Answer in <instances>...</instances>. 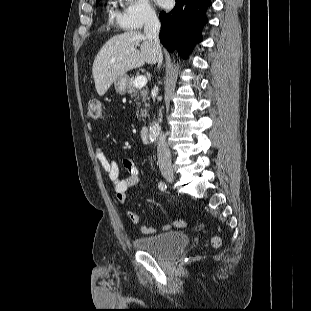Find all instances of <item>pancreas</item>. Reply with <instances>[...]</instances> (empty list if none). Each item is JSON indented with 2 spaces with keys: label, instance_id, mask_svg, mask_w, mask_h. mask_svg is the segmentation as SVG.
<instances>
[{
  "label": "pancreas",
  "instance_id": "cf45deb5",
  "mask_svg": "<svg viewBox=\"0 0 311 311\" xmlns=\"http://www.w3.org/2000/svg\"><path fill=\"white\" fill-rule=\"evenodd\" d=\"M134 78H130L128 81V89L127 92L132 95V97H134L135 99H142V103H144L145 105V109H140V111H137V116H140L139 120H144L143 117H145L146 113H147V107L149 106V104L146 102L148 101L150 98L148 97V90L147 89H142V88H137L134 85ZM137 105L140 107V102H137ZM140 112V115H139Z\"/></svg>",
  "mask_w": 311,
  "mask_h": 311
}]
</instances>
